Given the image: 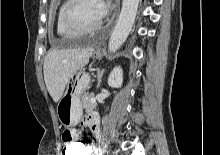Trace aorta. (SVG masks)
<instances>
[{
	"label": "aorta",
	"mask_w": 220,
	"mask_h": 155,
	"mask_svg": "<svg viewBox=\"0 0 220 155\" xmlns=\"http://www.w3.org/2000/svg\"><path fill=\"white\" fill-rule=\"evenodd\" d=\"M139 0H123L122 9L117 24L110 36L108 49L117 51L127 39L134 24Z\"/></svg>",
	"instance_id": "obj_1"
}]
</instances>
